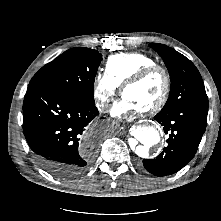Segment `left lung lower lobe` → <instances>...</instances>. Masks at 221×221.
<instances>
[{"instance_id": "left-lung-lower-lobe-1", "label": "left lung lower lobe", "mask_w": 221, "mask_h": 221, "mask_svg": "<svg viewBox=\"0 0 221 221\" xmlns=\"http://www.w3.org/2000/svg\"><path fill=\"white\" fill-rule=\"evenodd\" d=\"M207 113L208 104L199 102L160 111L155 120L169 134L168 145L156 158L143 160L145 169L155 176H167L188 164L196 154L206 130Z\"/></svg>"}]
</instances>
